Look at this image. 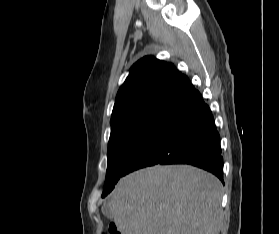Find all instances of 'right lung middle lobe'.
I'll return each mask as SVG.
<instances>
[{
	"label": "right lung middle lobe",
	"instance_id": "1",
	"mask_svg": "<svg viewBox=\"0 0 279 234\" xmlns=\"http://www.w3.org/2000/svg\"><path fill=\"white\" fill-rule=\"evenodd\" d=\"M170 107L150 106L112 118L108 143L107 172L102 197L112 191L134 152L151 133Z\"/></svg>",
	"mask_w": 279,
	"mask_h": 234
}]
</instances>
